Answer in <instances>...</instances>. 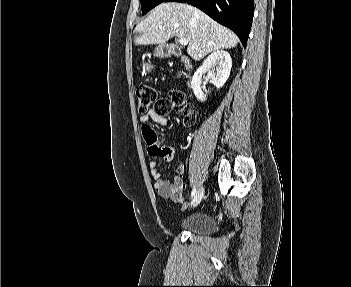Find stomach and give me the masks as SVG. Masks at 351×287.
<instances>
[{
    "instance_id": "obj_1",
    "label": "stomach",
    "mask_w": 351,
    "mask_h": 287,
    "mask_svg": "<svg viewBox=\"0 0 351 287\" xmlns=\"http://www.w3.org/2000/svg\"><path fill=\"white\" fill-rule=\"evenodd\" d=\"M155 52H156V55H158V56H164L165 55L162 46L157 47ZM151 69H152V66L150 64L147 63V64L144 65V71L145 72H148Z\"/></svg>"
}]
</instances>
